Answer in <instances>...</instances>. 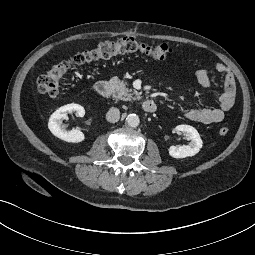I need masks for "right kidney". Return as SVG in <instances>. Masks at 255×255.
<instances>
[{
	"label": "right kidney",
	"mask_w": 255,
	"mask_h": 255,
	"mask_svg": "<svg viewBox=\"0 0 255 255\" xmlns=\"http://www.w3.org/2000/svg\"><path fill=\"white\" fill-rule=\"evenodd\" d=\"M78 114L79 117L85 115V109L79 104H67L59 109H57L51 116L48 122V128L51 133L64 140L66 142L79 143L85 139L84 134L78 129L66 130L62 125V120L66 119L67 112H74Z\"/></svg>",
	"instance_id": "right-kidney-1"
}]
</instances>
